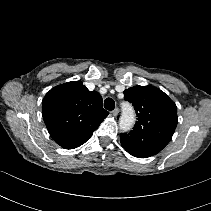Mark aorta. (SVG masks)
Returning a JSON list of instances; mask_svg holds the SVG:
<instances>
[{
    "label": "aorta",
    "instance_id": "762f6f07",
    "mask_svg": "<svg viewBox=\"0 0 211 211\" xmlns=\"http://www.w3.org/2000/svg\"><path fill=\"white\" fill-rule=\"evenodd\" d=\"M134 120H135V117H134L132 108L130 106H125L123 108V113L119 121L120 130L121 131L129 130L134 124Z\"/></svg>",
    "mask_w": 211,
    "mask_h": 211
}]
</instances>
